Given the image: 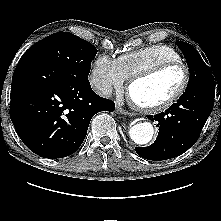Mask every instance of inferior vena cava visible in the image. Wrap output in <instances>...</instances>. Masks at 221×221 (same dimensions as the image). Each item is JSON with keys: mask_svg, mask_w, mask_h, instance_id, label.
<instances>
[{"mask_svg": "<svg viewBox=\"0 0 221 221\" xmlns=\"http://www.w3.org/2000/svg\"><path fill=\"white\" fill-rule=\"evenodd\" d=\"M99 95L110 97L112 95V87L111 85L104 84L98 90Z\"/></svg>", "mask_w": 221, "mask_h": 221, "instance_id": "1", "label": "inferior vena cava"}]
</instances>
